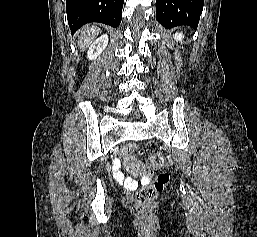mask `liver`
<instances>
[{
	"mask_svg": "<svg viewBox=\"0 0 257 237\" xmlns=\"http://www.w3.org/2000/svg\"><path fill=\"white\" fill-rule=\"evenodd\" d=\"M100 33V28L97 26H85L83 27L78 34V47L81 51H84L92 41Z\"/></svg>",
	"mask_w": 257,
	"mask_h": 237,
	"instance_id": "obj_1",
	"label": "liver"
}]
</instances>
